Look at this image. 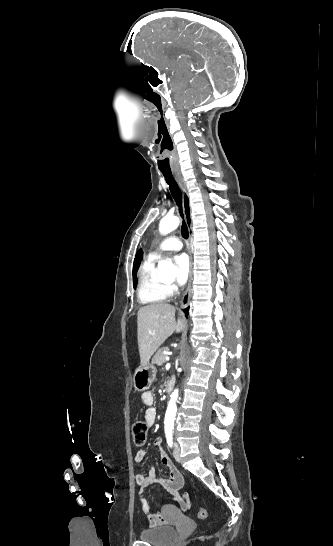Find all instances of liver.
<instances>
[{"instance_id": "obj_1", "label": "liver", "mask_w": 333, "mask_h": 546, "mask_svg": "<svg viewBox=\"0 0 333 546\" xmlns=\"http://www.w3.org/2000/svg\"><path fill=\"white\" fill-rule=\"evenodd\" d=\"M183 329V321L175 320V308L169 304L156 303L141 307L137 314V339L140 363L145 366L151 356L174 332Z\"/></svg>"}]
</instances>
